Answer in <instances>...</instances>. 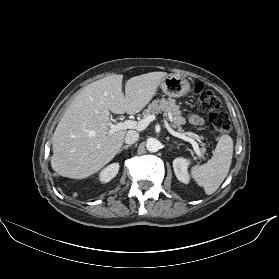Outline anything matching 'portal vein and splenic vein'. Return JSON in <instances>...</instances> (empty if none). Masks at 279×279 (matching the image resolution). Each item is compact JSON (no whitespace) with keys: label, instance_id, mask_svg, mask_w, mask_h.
<instances>
[{"label":"portal vein and splenic vein","instance_id":"1","mask_svg":"<svg viewBox=\"0 0 279 279\" xmlns=\"http://www.w3.org/2000/svg\"><path fill=\"white\" fill-rule=\"evenodd\" d=\"M155 118H156L155 115H149L138 122L132 121V120H126L124 122H119L117 124H113L110 122L109 123V127H110L109 133L112 134L114 132H117L120 130H126V129H136L138 131H141V130H144L150 124V122L155 120ZM163 123H164L165 128L171 135L178 137L180 139H183L184 141L190 142L194 148L195 153L198 156H201L199 146L194 139H192L191 137L185 136L184 134L174 131L165 118L163 119Z\"/></svg>","mask_w":279,"mask_h":279}]
</instances>
